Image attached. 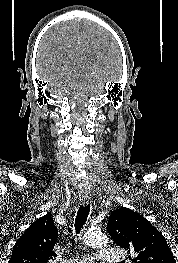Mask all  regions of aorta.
Here are the masks:
<instances>
[{
	"label": "aorta",
	"instance_id": "1",
	"mask_svg": "<svg viewBox=\"0 0 178 263\" xmlns=\"http://www.w3.org/2000/svg\"><path fill=\"white\" fill-rule=\"evenodd\" d=\"M84 242L93 247H103L108 244V237L98 231H90L84 235Z\"/></svg>",
	"mask_w": 178,
	"mask_h": 263
}]
</instances>
